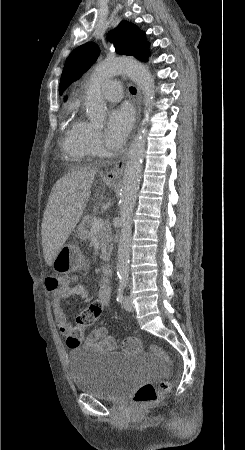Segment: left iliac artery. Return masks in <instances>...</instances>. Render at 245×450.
I'll return each instance as SVG.
<instances>
[{"label": "left iliac artery", "mask_w": 245, "mask_h": 450, "mask_svg": "<svg viewBox=\"0 0 245 450\" xmlns=\"http://www.w3.org/2000/svg\"><path fill=\"white\" fill-rule=\"evenodd\" d=\"M119 278H120V282H119L118 289H117L116 300H117V302L122 303L123 302V293H124V290L128 283V279L124 276H120Z\"/></svg>", "instance_id": "44dca946"}]
</instances>
